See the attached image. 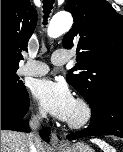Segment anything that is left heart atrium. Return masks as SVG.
Masks as SVG:
<instances>
[{
  "mask_svg": "<svg viewBox=\"0 0 123 152\" xmlns=\"http://www.w3.org/2000/svg\"><path fill=\"white\" fill-rule=\"evenodd\" d=\"M34 96L40 105L61 120L70 119L75 107V100L61 81L42 79L36 82Z\"/></svg>",
  "mask_w": 123,
  "mask_h": 152,
  "instance_id": "obj_1",
  "label": "left heart atrium"
}]
</instances>
